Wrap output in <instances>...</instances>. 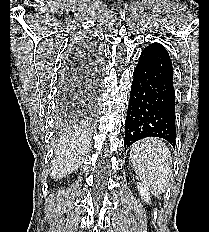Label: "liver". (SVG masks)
<instances>
[{"mask_svg":"<svg viewBox=\"0 0 209 232\" xmlns=\"http://www.w3.org/2000/svg\"><path fill=\"white\" fill-rule=\"evenodd\" d=\"M88 139L78 132L68 133L60 138L51 160L50 176L60 179L74 172L88 153Z\"/></svg>","mask_w":209,"mask_h":232,"instance_id":"liver-1","label":"liver"}]
</instances>
